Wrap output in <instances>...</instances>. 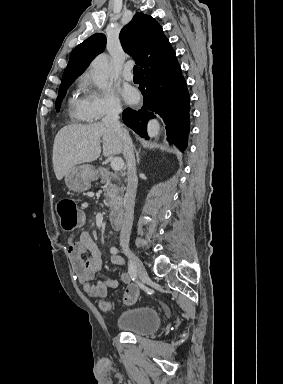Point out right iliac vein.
Here are the masks:
<instances>
[{
	"instance_id": "63e3f726",
	"label": "right iliac vein",
	"mask_w": 283,
	"mask_h": 384,
	"mask_svg": "<svg viewBox=\"0 0 283 384\" xmlns=\"http://www.w3.org/2000/svg\"><path fill=\"white\" fill-rule=\"evenodd\" d=\"M124 253L128 256V258L131 260V262L134 264L138 276L142 283H147L149 280L148 273L143 265V263L140 261V259L135 255V253L129 249V248H124Z\"/></svg>"
}]
</instances>
